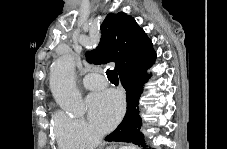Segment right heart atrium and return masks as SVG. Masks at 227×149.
Instances as JSON below:
<instances>
[{
  "mask_svg": "<svg viewBox=\"0 0 227 149\" xmlns=\"http://www.w3.org/2000/svg\"><path fill=\"white\" fill-rule=\"evenodd\" d=\"M54 124L56 141L62 147L86 148L99 142V134L82 117L59 111L54 117Z\"/></svg>",
  "mask_w": 227,
  "mask_h": 149,
  "instance_id": "obj_1",
  "label": "right heart atrium"
}]
</instances>
